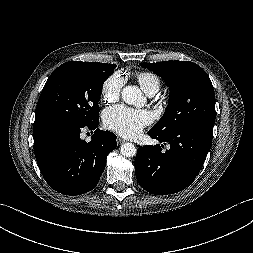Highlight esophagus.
Returning <instances> with one entry per match:
<instances>
[{"label": "esophagus", "mask_w": 253, "mask_h": 253, "mask_svg": "<svg viewBox=\"0 0 253 253\" xmlns=\"http://www.w3.org/2000/svg\"><path fill=\"white\" fill-rule=\"evenodd\" d=\"M124 142H125L124 139H122V138H120V137L117 138V143H118L119 145L122 144V143H124Z\"/></svg>", "instance_id": "obj_1"}]
</instances>
